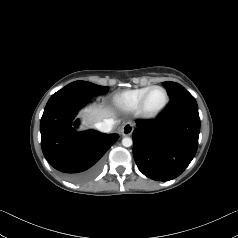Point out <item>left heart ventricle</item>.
<instances>
[{"label": "left heart ventricle", "instance_id": "obj_1", "mask_svg": "<svg viewBox=\"0 0 238 238\" xmlns=\"http://www.w3.org/2000/svg\"><path fill=\"white\" fill-rule=\"evenodd\" d=\"M164 100V92L161 89H155L150 93L147 99L146 107L149 111H155L163 105Z\"/></svg>", "mask_w": 238, "mask_h": 238}]
</instances>
